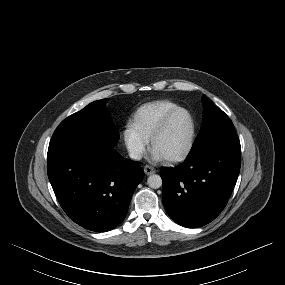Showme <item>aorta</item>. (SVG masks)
I'll list each match as a JSON object with an SVG mask.
<instances>
[{"mask_svg":"<svg viewBox=\"0 0 285 285\" xmlns=\"http://www.w3.org/2000/svg\"><path fill=\"white\" fill-rule=\"evenodd\" d=\"M147 184L153 189H158L162 186V178L159 175H150L147 179Z\"/></svg>","mask_w":285,"mask_h":285,"instance_id":"obj_1","label":"aorta"}]
</instances>
